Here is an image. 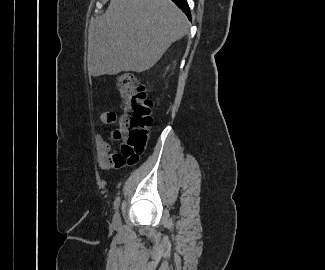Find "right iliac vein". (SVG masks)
<instances>
[{
    "label": "right iliac vein",
    "mask_w": 325,
    "mask_h": 270,
    "mask_svg": "<svg viewBox=\"0 0 325 270\" xmlns=\"http://www.w3.org/2000/svg\"><path fill=\"white\" fill-rule=\"evenodd\" d=\"M121 223L120 215L118 212H116L113 216V224L115 226H118Z\"/></svg>",
    "instance_id": "63e3f726"
}]
</instances>
